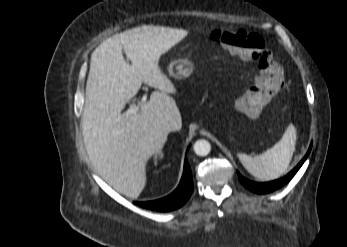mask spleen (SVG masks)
I'll return each instance as SVG.
<instances>
[{
    "instance_id": "3e777b00",
    "label": "spleen",
    "mask_w": 347,
    "mask_h": 247,
    "mask_svg": "<svg viewBox=\"0 0 347 247\" xmlns=\"http://www.w3.org/2000/svg\"><path fill=\"white\" fill-rule=\"evenodd\" d=\"M297 130L290 124L282 138L261 155L249 156L240 153L238 158L244 168L254 177L267 181L281 176L289 167L296 149Z\"/></svg>"
}]
</instances>
